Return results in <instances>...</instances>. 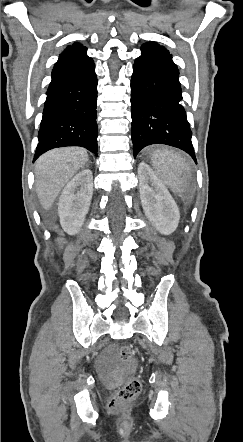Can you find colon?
<instances>
[{
    "label": "colon",
    "instance_id": "obj_1",
    "mask_svg": "<svg viewBox=\"0 0 243 442\" xmlns=\"http://www.w3.org/2000/svg\"><path fill=\"white\" fill-rule=\"evenodd\" d=\"M133 355L131 347L124 345L118 351V358L122 362L131 359ZM141 390V382L137 377H129L126 383L118 388L112 395L109 401V409L111 411L117 410L123 404L133 400Z\"/></svg>",
    "mask_w": 243,
    "mask_h": 442
}]
</instances>
